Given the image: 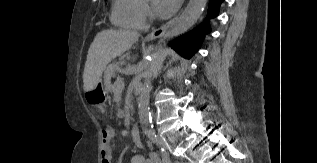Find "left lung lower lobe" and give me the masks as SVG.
Here are the masks:
<instances>
[{
  "mask_svg": "<svg viewBox=\"0 0 317 163\" xmlns=\"http://www.w3.org/2000/svg\"><path fill=\"white\" fill-rule=\"evenodd\" d=\"M223 1L224 0L209 1L207 19L216 17L218 15L219 6ZM209 30V26L205 22L186 35L176 38L171 42L170 45L181 55L190 58L195 53V51L199 49L200 42L203 39L204 34L208 33Z\"/></svg>",
  "mask_w": 317,
  "mask_h": 163,
  "instance_id": "obj_1",
  "label": "left lung lower lobe"
}]
</instances>
